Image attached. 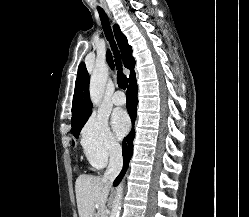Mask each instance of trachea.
Instances as JSON below:
<instances>
[{
	"label": "trachea",
	"instance_id": "1",
	"mask_svg": "<svg viewBox=\"0 0 249 217\" xmlns=\"http://www.w3.org/2000/svg\"><path fill=\"white\" fill-rule=\"evenodd\" d=\"M97 9H98V12H99V15H100V19H101L102 26H103V29H104V32H105V36H106L107 40L110 42L111 47H112V49L114 51L116 66H117V69H118V75H117L118 86L121 89H126V87L128 85V79L122 73V65H121V61H120V55H119V52L117 50V47H116V44H115V41H114V38H113V33H112V30H111V27H110L108 17L106 15V13L103 11L102 8L98 7Z\"/></svg>",
	"mask_w": 249,
	"mask_h": 217
}]
</instances>
